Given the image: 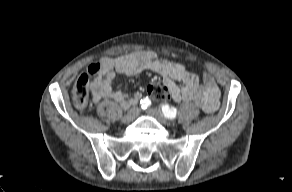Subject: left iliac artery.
<instances>
[{
	"mask_svg": "<svg viewBox=\"0 0 292 192\" xmlns=\"http://www.w3.org/2000/svg\"><path fill=\"white\" fill-rule=\"evenodd\" d=\"M161 108L166 118L174 119L178 115L177 109L174 107L170 108L168 105H162Z\"/></svg>",
	"mask_w": 292,
	"mask_h": 192,
	"instance_id": "obj_1",
	"label": "left iliac artery"
}]
</instances>
